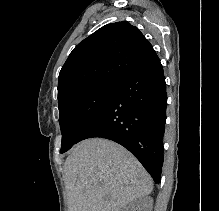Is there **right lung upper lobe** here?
<instances>
[{
	"instance_id": "right-lung-upper-lobe-1",
	"label": "right lung upper lobe",
	"mask_w": 219,
	"mask_h": 211,
	"mask_svg": "<svg viewBox=\"0 0 219 211\" xmlns=\"http://www.w3.org/2000/svg\"><path fill=\"white\" fill-rule=\"evenodd\" d=\"M157 58L135 26L126 21L105 25L70 53L59 74L58 102L95 85H118Z\"/></svg>"
}]
</instances>
